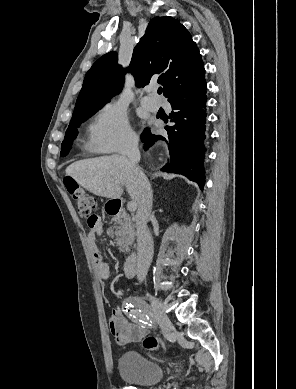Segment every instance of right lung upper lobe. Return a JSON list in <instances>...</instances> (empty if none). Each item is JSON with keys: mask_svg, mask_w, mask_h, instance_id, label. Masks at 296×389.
Returning a JSON list of instances; mask_svg holds the SVG:
<instances>
[{"mask_svg": "<svg viewBox=\"0 0 296 389\" xmlns=\"http://www.w3.org/2000/svg\"><path fill=\"white\" fill-rule=\"evenodd\" d=\"M126 71L133 74L137 87L156 79L168 101L177 93L206 84L201 54L187 29L172 17H155L135 46L126 70L117 64L116 52L96 60L84 78L73 114L109 102L122 90Z\"/></svg>", "mask_w": 296, "mask_h": 389, "instance_id": "right-lung-upper-lobe-1", "label": "right lung upper lobe"}]
</instances>
